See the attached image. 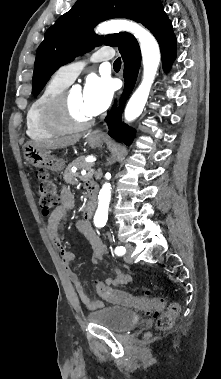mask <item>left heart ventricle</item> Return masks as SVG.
Segmentation results:
<instances>
[{"label":"left heart ventricle","mask_w":221,"mask_h":379,"mask_svg":"<svg viewBox=\"0 0 221 379\" xmlns=\"http://www.w3.org/2000/svg\"><path fill=\"white\" fill-rule=\"evenodd\" d=\"M69 105L71 114L75 120L85 121L92 117L84 108L81 91L71 90L69 94Z\"/></svg>","instance_id":"obj_1"}]
</instances>
